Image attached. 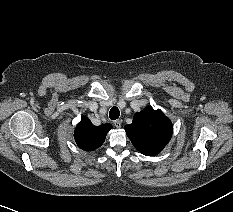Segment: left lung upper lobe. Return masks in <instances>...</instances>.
I'll use <instances>...</instances> for the list:
<instances>
[{
	"label": "left lung upper lobe",
	"mask_w": 233,
	"mask_h": 212,
	"mask_svg": "<svg viewBox=\"0 0 233 212\" xmlns=\"http://www.w3.org/2000/svg\"><path fill=\"white\" fill-rule=\"evenodd\" d=\"M124 128L134 147L147 156L159 154L170 141L173 131L171 121L161 110L152 107L136 113L132 124Z\"/></svg>",
	"instance_id": "obj_1"
}]
</instances>
